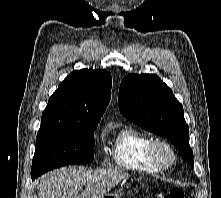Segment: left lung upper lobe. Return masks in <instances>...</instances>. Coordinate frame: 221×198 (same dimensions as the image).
I'll return each instance as SVG.
<instances>
[{
  "instance_id": "5c2ea615",
  "label": "left lung upper lobe",
  "mask_w": 221,
  "mask_h": 198,
  "mask_svg": "<svg viewBox=\"0 0 221 198\" xmlns=\"http://www.w3.org/2000/svg\"><path fill=\"white\" fill-rule=\"evenodd\" d=\"M118 105L124 117L167 138L181 157L194 166L183 107L157 75L132 74L124 77L119 88Z\"/></svg>"
}]
</instances>
